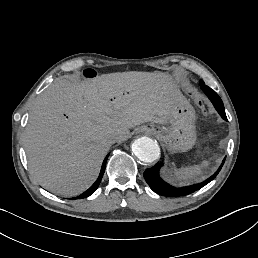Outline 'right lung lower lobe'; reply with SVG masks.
Returning <instances> with one entry per match:
<instances>
[{
  "instance_id": "obj_1",
  "label": "right lung lower lobe",
  "mask_w": 258,
  "mask_h": 258,
  "mask_svg": "<svg viewBox=\"0 0 258 258\" xmlns=\"http://www.w3.org/2000/svg\"><path fill=\"white\" fill-rule=\"evenodd\" d=\"M108 156L109 155H107L106 158L103 161V164H102V167H101V172L99 174L98 179L95 181V183L87 191H85L83 194H81V195H79L77 197H74L72 199L86 198V197L90 196L98 188V186H99V184L101 182L102 176L104 174V171H105V167H106V162H107Z\"/></svg>"
}]
</instances>
